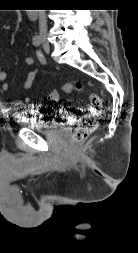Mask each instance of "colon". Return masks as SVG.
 Returning <instances> with one entry per match:
<instances>
[{
	"instance_id": "1",
	"label": "colon",
	"mask_w": 138,
	"mask_h": 253,
	"mask_svg": "<svg viewBox=\"0 0 138 253\" xmlns=\"http://www.w3.org/2000/svg\"><path fill=\"white\" fill-rule=\"evenodd\" d=\"M85 89L83 82L74 81L66 83L62 86L61 90H53L47 96L46 99L50 101H57L60 98V94H68L71 92H82ZM89 111L80 117L78 126L75 128L72 140L75 143L83 142L88 136L93 133L97 128V116L101 113L102 100L95 94H89Z\"/></svg>"
}]
</instances>
